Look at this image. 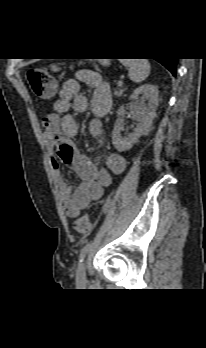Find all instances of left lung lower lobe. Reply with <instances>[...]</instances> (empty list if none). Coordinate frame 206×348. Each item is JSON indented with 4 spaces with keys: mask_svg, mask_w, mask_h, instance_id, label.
Here are the masks:
<instances>
[{
    "mask_svg": "<svg viewBox=\"0 0 206 348\" xmlns=\"http://www.w3.org/2000/svg\"><path fill=\"white\" fill-rule=\"evenodd\" d=\"M162 65H164L172 74L176 76V64L177 58L156 59Z\"/></svg>",
    "mask_w": 206,
    "mask_h": 348,
    "instance_id": "left-lung-lower-lobe-1",
    "label": "left lung lower lobe"
}]
</instances>
